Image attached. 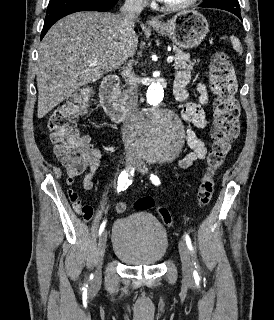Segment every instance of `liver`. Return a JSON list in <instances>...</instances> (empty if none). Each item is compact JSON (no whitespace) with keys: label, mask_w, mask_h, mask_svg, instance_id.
I'll use <instances>...</instances> for the list:
<instances>
[{"label":"liver","mask_w":274,"mask_h":320,"mask_svg":"<svg viewBox=\"0 0 274 320\" xmlns=\"http://www.w3.org/2000/svg\"><path fill=\"white\" fill-rule=\"evenodd\" d=\"M119 18L110 12H76L50 28L38 48V118L134 56L138 38L121 36Z\"/></svg>","instance_id":"liver-1"}]
</instances>
